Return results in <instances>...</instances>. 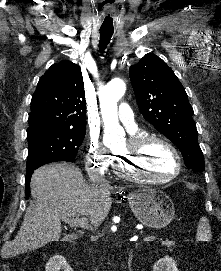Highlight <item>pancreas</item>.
<instances>
[{"label": "pancreas", "instance_id": "obj_1", "mask_svg": "<svg viewBox=\"0 0 221 271\" xmlns=\"http://www.w3.org/2000/svg\"><path fill=\"white\" fill-rule=\"evenodd\" d=\"M156 244L160 247H175V239H156Z\"/></svg>", "mask_w": 221, "mask_h": 271}]
</instances>
